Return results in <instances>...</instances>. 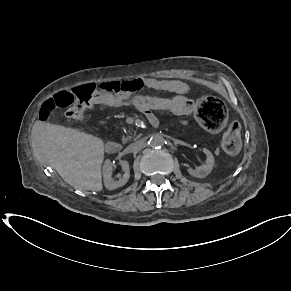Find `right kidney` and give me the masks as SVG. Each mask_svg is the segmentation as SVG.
Masks as SVG:
<instances>
[{"instance_id": "ca27d5eb", "label": "right kidney", "mask_w": 291, "mask_h": 291, "mask_svg": "<svg viewBox=\"0 0 291 291\" xmlns=\"http://www.w3.org/2000/svg\"><path fill=\"white\" fill-rule=\"evenodd\" d=\"M120 165L124 171V174L119 178L118 181H115L112 178L113 164L111 161L106 160L103 165L104 185L108 190H114L125 185L130 177L129 163L124 160L120 161Z\"/></svg>"}]
</instances>
